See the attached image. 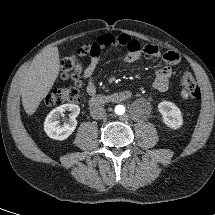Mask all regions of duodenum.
<instances>
[{"instance_id":"1","label":"duodenum","mask_w":215,"mask_h":215,"mask_svg":"<svg viewBox=\"0 0 215 215\" xmlns=\"http://www.w3.org/2000/svg\"><path fill=\"white\" fill-rule=\"evenodd\" d=\"M131 97L129 90L114 92L109 95H93L88 100L90 107H98L108 103H121L127 101Z\"/></svg>"}]
</instances>
